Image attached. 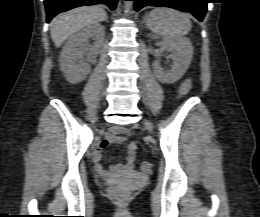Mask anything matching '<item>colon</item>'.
<instances>
[{"instance_id":"5ec220e1","label":"colon","mask_w":260,"mask_h":217,"mask_svg":"<svg viewBox=\"0 0 260 217\" xmlns=\"http://www.w3.org/2000/svg\"><path fill=\"white\" fill-rule=\"evenodd\" d=\"M140 167L144 172H149L151 170V164L146 161L142 162ZM110 194H112L114 198L121 203L126 202L128 199V193L120 186L112 187L110 189Z\"/></svg>"}]
</instances>
